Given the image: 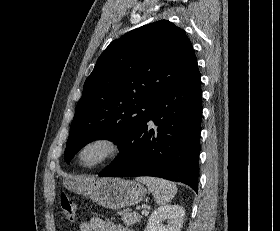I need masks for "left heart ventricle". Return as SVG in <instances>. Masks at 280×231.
Listing matches in <instances>:
<instances>
[{
    "mask_svg": "<svg viewBox=\"0 0 280 231\" xmlns=\"http://www.w3.org/2000/svg\"><path fill=\"white\" fill-rule=\"evenodd\" d=\"M113 146L106 140H97L88 144L80 155V164L84 168H93L104 162L112 153Z\"/></svg>",
    "mask_w": 280,
    "mask_h": 231,
    "instance_id": "b2bd125f",
    "label": "left heart ventricle"
}]
</instances>
